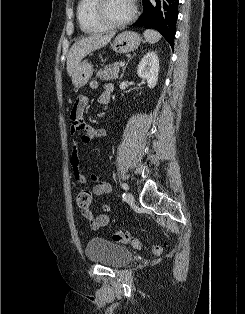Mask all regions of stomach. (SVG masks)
<instances>
[{
	"label": "stomach",
	"mask_w": 245,
	"mask_h": 314,
	"mask_svg": "<svg viewBox=\"0 0 245 314\" xmlns=\"http://www.w3.org/2000/svg\"><path fill=\"white\" fill-rule=\"evenodd\" d=\"M141 42V37L133 31H125L114 39L112 49L117 53H128L135 50ZM93 73V66L88 62L80 63L72 75V83L79 89L85 86Z\"/></svg>",
	"instance_id": "1"
}]
</instances>
